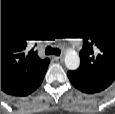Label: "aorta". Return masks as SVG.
<instances>
[{"mask_svg": "<svg viewBox=\"0 0 115 114\" xmlns=\"http://www.w3.org/2000/svg\"><path fill=\"white\" fill-rule=\"evenodd\" d=\"M65 65L69 70H76L80 65V57L74 50H69L65 54Z\"/></svg>", "mask_w": 115, "mask_h": 114, "instance_id": "obj_1", "label": "aorta"}]
</instances>
